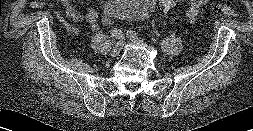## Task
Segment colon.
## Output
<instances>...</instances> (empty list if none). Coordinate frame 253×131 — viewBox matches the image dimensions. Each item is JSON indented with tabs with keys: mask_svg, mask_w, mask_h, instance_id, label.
<instances>
[{
	"mask_svg": "<svg viewBox=\"0 0 253 131\" xmlns=\"http://www.w3.org/2000/svg\"><path fill=\"white\" fill-rule=\"evenodd\" d=\"M178 4V0H158V7L164 12L175 10L178 7ZM213 11L217 14H223L230 17L238 16V12L229 2L214 5ZM101 24L110 29L114 25V20L109 15L105 14L101 17Z\"/></svg>",
	"mask_w": 253,
	"mask_h": 131,
	"instance_id": "1",
	"label": "colon"
}]
</instances>
